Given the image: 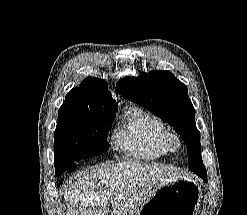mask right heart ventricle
<instances>
[{
	"label": "right heart ventricle",
	"instance_id": "1",
	"mask_svg": "<svg viewBox=\"0 0 247 215\" xmlns=\"http://www.w3.org/2000/svg\"><path fill=\"white\" fill-rule=\"evenodd\" d=\"M168 129L151 113L131 107L114 133V143L127 157L137 161H154L168 155Z\"/></svg>",
	"mask_w": 247,
	"mask_h": 215
}]
</instances>
